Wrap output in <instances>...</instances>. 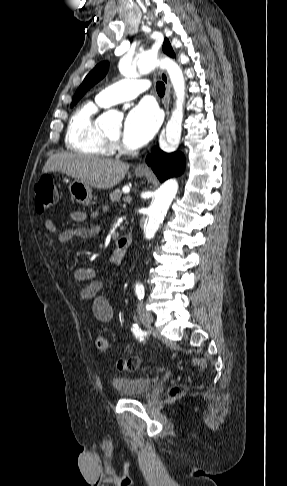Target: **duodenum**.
<instances>
[{
	"label": "duodenum",
	"mask_w": 287,
	"mask_h": 486,
	"mask_svg": "<svg viewBox=\"0 0 287 486\" xmlns=\"http://www.w3.org/2000/svg\"><path fill=\"white\" fill-rule=\"evenodd\" d=\"M131 242H132V234L131 233H127V234L121 236L116 242L114 253L117 256L123 257L125 255L128 247H129V245L131 244Z\"/></svg>",
	"instance_id": "obj_1"
}]
</instances>
